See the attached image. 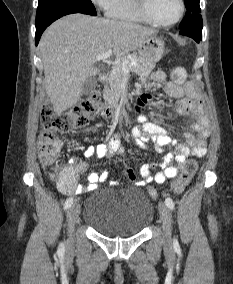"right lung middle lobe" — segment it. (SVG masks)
I'll list each match as a JSON object with an SVG mask.
<instances>
[{"label": "right lung middle lobe", "instance_id": "right-lung-middle-lobe-1", "mask_svg": "<svg viewBox=\"0 0 233 284\" xmlns=\"http://www.w3.org/2000/svg\"><path fill=\"white\" fill-rule=\"evenodd\" d=\"M38 2L36 25L77 12L97 15L91 0H38Z\"/></svg>", "mask_w": 233, "mask_h": 284}]
</instances>
